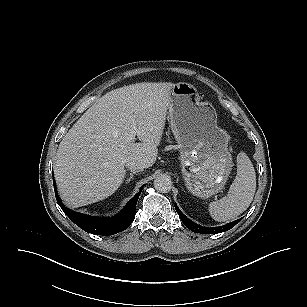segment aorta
I'll list each match as a JSON object with an SVG mask.
<instances>
[{
	"instance_id": "obj_1",
	"label": "aorta",
	"mask_w": 307,
	"mask_h": 307,
	"mask_svg": "<svg viewBox=\"0 0 307 307\" xmlns=\"http://www.w3.org/2000/svg\"><path fill=\"white\" fill-rule=\"evenodd\" d=\"M154 187L160 193H167L172 188V181L168 175L161 174L154 180Z\"/></svg>"
}]
</instances>
